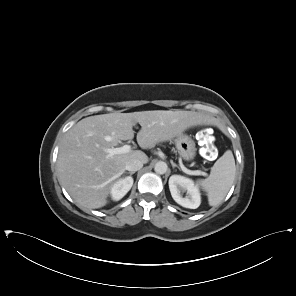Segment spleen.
<instances>
[{"label": "spleen", "instance_id": "1", "mask_svg": "<svg viewBox=\"0 0 296 296\" xmlns=\"http://www.w3.org/2000/svg\"><path fill=\"white\" fill-rule=\"evenodd\" d=\"M235 160L231 150H227L211 168L210 176L197 181V184L207 192L210 206L222 202L230 190L235 177Z\"/></svg>", "mask_w": 296, "mask_h": 296}]
</instances>
